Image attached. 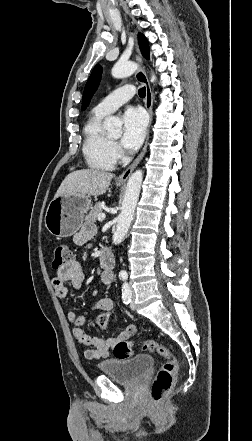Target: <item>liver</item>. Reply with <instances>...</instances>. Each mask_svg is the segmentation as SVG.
Masks as SVG:
<instances>
[{"instance_id":"6515ba94","label":"liver","mask_w":252,"mask_h":441,"mask_svg":"<svg viewBox=\"0 0 252 441\" xmlns=\"http://www.w3.org/2000/svg\"><path fill=\"white\" fill-rule=\"evenodd\" d=\"M113 177V173L97 169L73 171L62 181L55 197L64 195H103L108 190Z\"/></svg>"}]
</instances>
